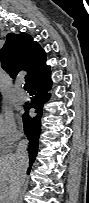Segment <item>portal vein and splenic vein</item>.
<instances>
[{
    "instance_id": "obj_1",
    "label": "portal vein and splenic vein",
    "mask_w": 89,
    "mask_h": 203,
    "mask_svg": "<svg viewBox=\"0 0 89 203\" xmlns=\"http://www.w3.org/2000/svg\"><path fill=\"white\" fill-rule=\"evenodd\" d=\"M0 203H6V202H4V201H0Z\"/></svg>"
}]
</instances>
